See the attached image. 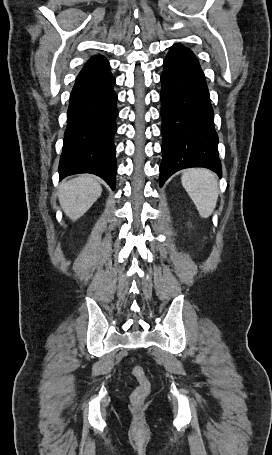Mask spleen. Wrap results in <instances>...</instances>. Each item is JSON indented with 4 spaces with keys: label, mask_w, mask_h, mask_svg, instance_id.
<instances>
[{
    "label": "spleen",
    "mask_w": 272,
    "mask_h": 455,
    "mask_svg": "<svg viewBox=\"0 0 272 455\" xmlns=\"http://www.w3.org/2000/svg\"><path fill=\"white\" fill-rule=\"evenodd\" d=\"M186 192L203 218L213 213L218 200V181L216 175L201 168L188 169L181 177Z\"/></svg>",
    "instance_id": "obj_1"
}]
</instances>
